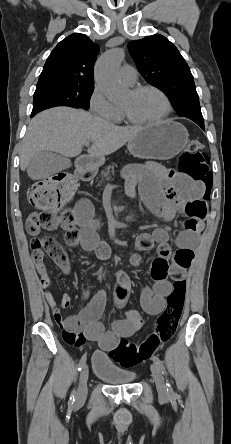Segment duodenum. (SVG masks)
Returning <instances> with one entry per match:
<instances>
[{"label": "duodenum", "mask_w": 231, "mask_h": 444, "mask_svg": "<svg viewBox=\"0 0 231 444\" xmlns=\"http://www.w3.org/2000/svg\"><path fill=\"white\" fill-rule=\"evenodd\" d=\"M79 174L81 176L88 177L92 174V170L84 168L83 170L79 171Z\"/></svg>", "instance_id": "obj_1"}]
</instances>
